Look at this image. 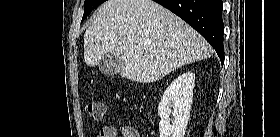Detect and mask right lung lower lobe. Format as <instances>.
I'll list each match as a JSON object with an SVG mask.
<instances>
[{
  "label": "right lung lower lobe",
  "instance_id": "1",
  "mask_svg": "<svg viewBox=\"0 0 280 137\" xmlns=\"http://www.w3.org/2000/svg\"><path fill=\"white\" fill-rule=\"evenodd\" d=\"M166 7L195 30L215 49L224 62L222 0H154Z\"/></svg>",
  "mask_w": 280,
  "mask_h": 137
}]
</instances>
